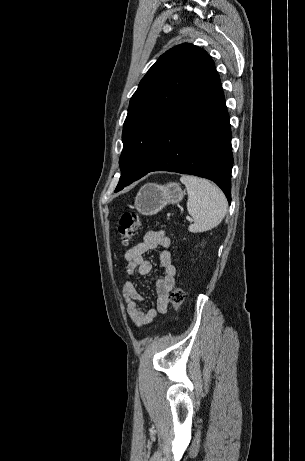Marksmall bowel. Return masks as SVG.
<instances>
[{
	"instance_id": "small-bowel-1",
	"label": "small bowel",
	"mask_w": 305,
	"mask_h": 461,
	"mask_svg": "<svg viewBox=\"0 0 305 461\" xmlns=\"http://www.w3.org/2000/svg\"><path fill=\"white\" fill-rule=\"evenodd\" d=\"M170 238L162 230L149 231L144 235L141 242L128 249L124 254L127 262L126 271L129 275H148L152 264L144 258V254L150 250L161 248L160 263L164 269V276L156 281L158 293L157 304L153 308L143 309L140 306L142 296L132 281H126L122 288V295L127 304V315L132 323L143 326L150 323L158 313H165L169 302V293L176 282V268L172 261V255L168 250Z\"/></svg>"
}]
</instances>
